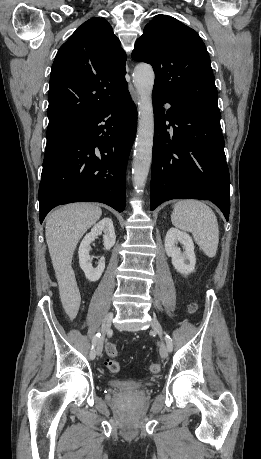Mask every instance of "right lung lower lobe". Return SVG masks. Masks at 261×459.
Returning <instances> with one entry per match:
<instances>
[{
  "mask_svg": "<svg viewBox=\"0 0 261 459\" xmlns=\"http://www.w3.org/2000/svg\"><path fill=\"white\" fill-rule=\"evenodd\" d=\"M136 126L137 110L127 90L46 149L39 186L40 223L52 208L71 202L125 209V173Z\"/></svg>",
  "mask_w": 261,
  "mask_h": 459,
  "instance_id": "right-lung-lower-lobe-1",
  "label": "right lung lower lobe"
}]
</instances>
